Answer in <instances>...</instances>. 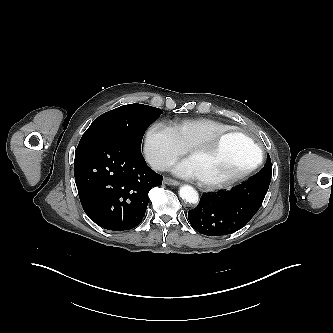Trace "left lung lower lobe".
I'll list each match as a JSON object with an SVG mask.
<instances>
[{"mask_svg":"<svg viewBox=\"0 0 333 333\" xmlns=\"http://www.w3.org/2000/svg\"><path fill=\"white\" fill-rule=\"evenodd\" d=\"M271 177L245 181L231 191L203 194L198 206L188 212L192 227L208 236L233 233L257 213L268 191Z\"/></svg>","mask_w":333,"mask_h":333,"instance_id":"1","label":"left lung lower lobe"}]
</instances>
